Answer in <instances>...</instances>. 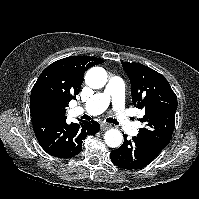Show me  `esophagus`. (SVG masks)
I'll return each mask as SVG.
<instances>
[{"instance_id":"obj_1","label":"esophagus","mask_w":199,"mask_h":199,"mask_svg":"<svg viewBox=\"0 0 199 199\" xmlns=\"http://www.w3.org/2000/svg\"><path fill=\"white\" fill-rule=\"evenodd\" d=\"M110 127H111V125L108 124V123H102L101 124V130H103V131L109 129Z\"/></svg>"}]
</instances>
